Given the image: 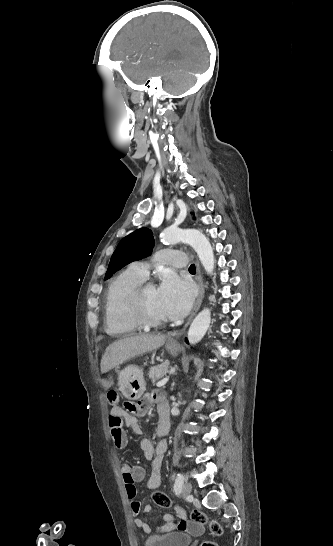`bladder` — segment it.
I'll use <instances>...</instances> for the list:
<instances>
[{
    "label": "bladder",
    "instance_id": "1",
    "mask_svg": "<svg viewBox=\"0 0 333 546\" xmlns=\"http://www.w3.org/2000/svg\"><path fill=\"white\" fill-rule=\"evenodd\" d=\"M191 536L184 532H172L164 535H151L144 546H189Z\"/></svg>",
    "mask_w": 333,
    "mask_h": 546
}]
</instances>
